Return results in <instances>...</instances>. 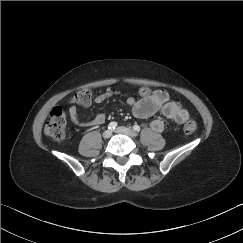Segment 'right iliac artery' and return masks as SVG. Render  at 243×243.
<instances>
[{
	"mask_svg": "<svg viewBox=\"0 0 243 243\" xmlns=\"http://www.w3.org/2000/svg\"><path fill=\"white\" fill-rule=\"evenodd\" d=\"M116 127H117L116 122H110L108 125V129H110V130H114Z\"/></svg>",
	"mask_w": 243,
	"mask_h": 243,
	"instance_id": "82829eb1",
	"label": "right iliac artery"
}]
</instances>
